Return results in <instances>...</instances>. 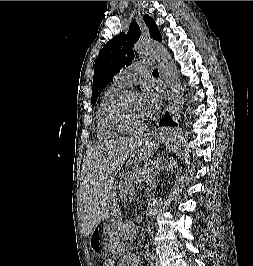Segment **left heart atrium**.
Segmentation results:
<instances>
[{
  "mask_svg": "<svg viewBox=\"0 0 253 266\" xmlns=\"http://www.w3.org/2000/svg\"><path fill=\"white\" fill-rule=\"evenodd\" d=\"M139 97L146 116H152L160 106L159 94L150 87H146L143 89Z\"/></svg>",
  "mask_w": 253,
  "mask_h": 266,
  "instance_id": "39dd6f15",
  "label": "left heart atrium"
}]
</instances>
